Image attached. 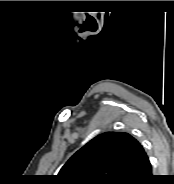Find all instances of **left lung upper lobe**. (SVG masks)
<instances>
[{"label": "left lung upper lobe", "mask_w": 174, "mask_h": 184, "mask_svg": "<svg viewBox=\"0 0 174 184\" xmlns=\"http://www.w3.org/2000/svg\"><path fill=\"white\" fill-rule=\"evenodd\" d=\"M140 147L128 133L105 132L78 150L58 179L64 184H126Z\"/></svg>", "instance_id": "5c2ea615"}]
</instances>
